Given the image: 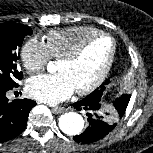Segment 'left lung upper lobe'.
<instances>
[{
  "label": "left lung upper lobe",
  "instance_id": "5c2ea615",
  "mask_svg": "<svg viewBox=\"0 0 153 153\" xmlns=\"http://www.w3.org/2000/svg\"><path fill=\"white\" fill-rule=\"evenodd\" d=\"M109 80H106L98 89L93 91L91 94H89L87 97L88 98H93V99H100L102 98L104 91L106 89L105 85H107ZM131 95L128 94H123L121 97L117 98L113 104L114 108H108L104 112V117L115 127L117 125V122L122 118L124 115V112L126 110V107L129 103Z\"/></svg>",
  "mask_w": 153,
  "mask_h": 153
}]
</instances>
